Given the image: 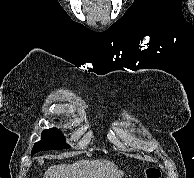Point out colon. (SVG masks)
I'll use <instances>...</instances> for the list:
<instances>
[{
    "mask_svg": "<svg viewBox=\"0 0 194 178\" xmlns=\"http://www.w3.org/2000/svg\"><path fill=\"white\" fill-rule=\"evenodd\" d=\"M144 178H161V172L156 167H148L144 171Z\"/></svg>",
    "mask_w": 194,
    "mask_h": 178,
    "instance_id": "5ec220e1",
    "label": "colon"
}]
</instances>
